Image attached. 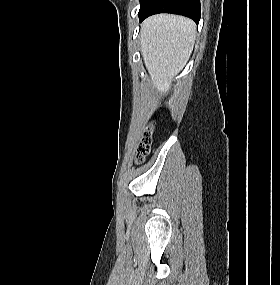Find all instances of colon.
<instances>
[{
  "label": "colon",
  "mask_w": 280,
  "mask_h": 285,
  "mask_svg": "<svg viewBox=\"0 0 280 285\" xmlns=\"http://www.w3.org/2000/svg\"><path fill=\"white\" fill-rule=\"evenodd\" d=\"M150 145H151V132H147L144 139L142 140L141 144L138 147V152L136 157V161L138 163L144 161L146 155L150 151Z\"/></svg>",
  "instance_id": "1"
}]
</instances>
